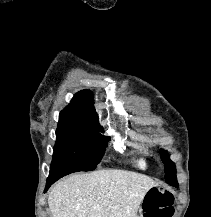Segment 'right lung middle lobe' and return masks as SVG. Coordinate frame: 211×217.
Wrapping results in <instances>:
<instances>
[{
    "label": "right lung middle lobe",
    "instance_id": "right-lung-middle-lobe-1",
    "mask_svg": "<svg viewBox=\"0 0 211 217\" xmlns=\"http://www.w3.org/2000/svg\"><path fill=\"white\" fill-rule=\"evenodd\" d=\"M102 131L97 127L58 125L48 179L94 170L110 139L99 133Z\"/></svg>",
    "mask_w": 211,
    "mask_h": 217
}]
</instances>
